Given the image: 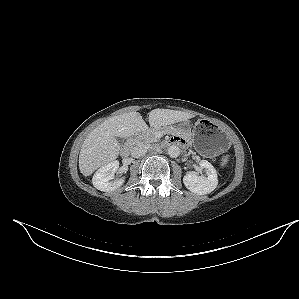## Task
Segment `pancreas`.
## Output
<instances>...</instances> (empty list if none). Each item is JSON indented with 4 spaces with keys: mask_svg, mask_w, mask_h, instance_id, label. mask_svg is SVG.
Returning a JSON list of instances; mask_svg holds the SVG:
<instances>
[{
    "mask_svg": "<svg viewBox=\"0 0 299 299\" xmlns=\"http://www.w3.org/2000/svg\"><path fill=\"white\" fill-rule=\"evenodd\" d=\"M162 131H172L170 127H156L150 128L142 133H140L136 140L139 143H153L158 141V133Z\"/></svg>",
    "mask_w": 299,
    "mask_h": 299,
    "instance_id": "obj_1",
    "label": "pancreas"
}]
</instances>
